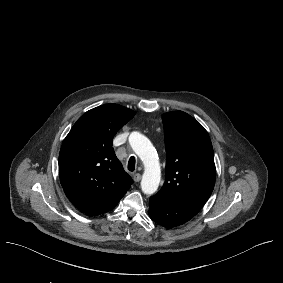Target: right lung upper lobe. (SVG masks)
Segmentation results:
<instances>
[{"mask_svg": "<svg viewBox=\"0 0 283 283\" xmlns=\"http://www.w3.org/2000/svg\"><path fill=\"white\" fill-rule=\"evenodd\" d=\"M134 115L116 104L96 107L84 113L64 139L60 181L80 211L93 216L111 211L133 183L114 153L112 140Z\"/></svg>", "mask_w": 283, "mask_h": 283, "instance_id": "obj_1", "label": "right lung upper lobe"}]
</instances>
